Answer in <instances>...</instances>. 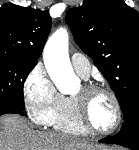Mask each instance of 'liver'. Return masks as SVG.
<instances>
[{
    "label": "liver",
    "mask_w": 139,
    "mask_h": 150,
    "mask_svg": "<svg viewBox=\"0 0 139 150\" xmlns=\"http://www.w3.org/2000/svg\"><path fill=\"white\" fill-rule=\"evenodd\" d=\"M99 146L86 140L29 127L18 115L0 117V150H96Z\"/></svg>",
    "instance_id": "6515ba94"
}]
</instances>
